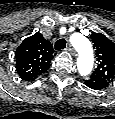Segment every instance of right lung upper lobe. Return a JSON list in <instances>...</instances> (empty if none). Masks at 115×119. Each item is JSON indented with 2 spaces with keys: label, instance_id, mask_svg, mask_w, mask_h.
<instances>
[{
  "label": "right lung upper lobe",
  "instance_id": "obj_1",
  "mask_svg": "<svg viewBox=\"0 0 115 119\" xmlns=\"http://www.w3.org/2000/svg\"><path fill=\"white\" fill-rule=\"evenodd\" d=\"M53 47L39 32L26 38L15 51L16 70L24 81L44 73L53 57Z\"/></svg>",
  "mask_w": 115,
  "mask_h": 119
}]
</instances>
